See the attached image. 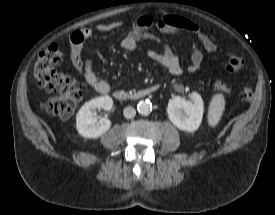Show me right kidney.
<instances>
[{
	"label": "right kidney",
	"mask_w": 275,
	"mask_h": 215,
	"mask_svg": "<svg viewBox=\"0 0 275 215\" xmlns=\"http://www.w3.org/2000/svg\"><path fill=\"white\" fill-rule=\"evenodd\" d=\"M113 100L109 96H102L86 102L78 111L76 116V128L78 133L84 138H98L108 131L111 122L107 118L99 120L94 114L96 108L110 110Z\"/></svg>",
	"instance_id": "obj_1"
}]
</instances>
